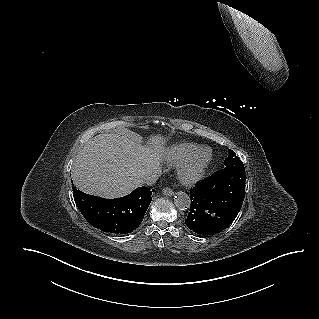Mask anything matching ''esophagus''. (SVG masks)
I'll return each mask as SVG.
<instances>
[{
    "label": "esophagus",
    "instance_id": "esophagus-1",
    "mask_svg": "<svg viewBox=\"0 0 319 319\" xmlns=\"http://www.w3.org/2000/svg\"><path fill=\"white\" fill-rule=\"evenodd\" d=\"M162 192L166 196H173L174 195V191L168 187L164 188Z\"/></svg>",
    "mask_w": 319,
    "mask_h": 319
}]
</instances>
